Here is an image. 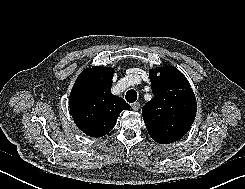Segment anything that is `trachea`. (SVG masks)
I'll list each match as a JSON object with an SVG mask.
<instances>
[{
	"instance_id": "trachea-1",
	"label": "trachea",
	"mask_w": 245,
	"mask_h": 189,
	"mask_svg": "<svg viewBox=\"0 0 245 189\" xmlns=\"http://www.w3.org/2000/svg\"><path fill=\"white\" fill-rule=\"evenodd\" d=\"M125 99L129 102V103H133L137 100V92L133 89L127 91L126 95H125Z\"/></svg>"
}]
</instances>
